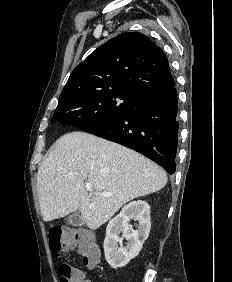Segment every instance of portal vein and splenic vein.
I'll list each match as a JSON object with an SVG mask.
<instances>
[{"label":"portal vein and splenic vein","instance_id":"18ae733b","mask_svg":"<svg viewBox=\"0 0 232 282\" xmlns=\"http://www.w3.org/2000/svg\"><path fill=\"white\" fill-rule=\"evenodd\" d=\"M85 187L88 192L92 193V186L90 184H86ZM93 194L100 195V196H109L110 195L108 193H98V192H93Z\"/></svg>","mask_w":232,"mask_h":282}]
</instances>
